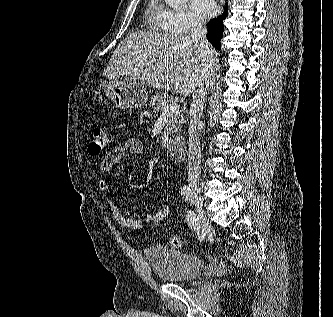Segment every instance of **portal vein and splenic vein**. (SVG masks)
<instances>
[{"mask_svg":"<svg viewBox=\"0 0 333 317\" xmlns=\"http://www.w3.org/2000/svg\"><path fill=\"white\" fill-rule=\"evenodd\" d=\"M180 109V105L177 103H170L168 105H165L162 111V116L172 115L174 113H177Z\"/></svg>","mask_w":333,"mask_h":317,"instance_id":"1","label":"portal vein and splenic vein"}]
</instances>
